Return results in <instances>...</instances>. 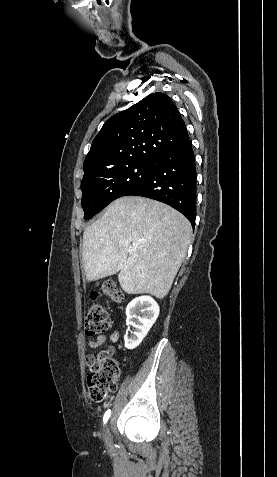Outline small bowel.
<instances>
[{"label": "small bowel", "mask_w": 277, "mask_h": 477, "mask_svg": "<svg viewBox=\"0 0 277 477\" xmlns=\"http://www.w3.org/2000/svg\"><path fill=\"white\" fill-rule=\"evenodd\" d=\"M118 338H119V332L116 330L109 336L110 345L106 348V350L102 351L98 355H95V354L91 353L87 356L86 362H87L88 366L97 362L102 357L110 356V355L114 354V352H115L114 344L117 342ZM106 340H107V336L106 335H101L96 340H88L87 344H88L89 348L96 349V348L100 347L101 345H103L106 342Z\"/></svg>", "instance_id": "c3829d8e"}]
</instances>
